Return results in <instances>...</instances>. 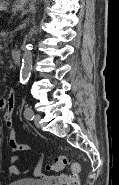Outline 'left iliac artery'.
<instances>
[{
    "mask_svg": "<svg viewBox=\"0 0 119 185\" xmlns=\"http://www.w3.org/2000/svg\"><path fill=\"white\" fill-rule=\"evenodd\" d=\"M24 116L27 120H33L34 119V112L30 107L25 108L24 110Z\"/></svg>",
    "mask_w": 119,
    "mask_h": 185,
    "instance_id": "obj_1",
    "label": "left iliac artery"
}]
</instances>
